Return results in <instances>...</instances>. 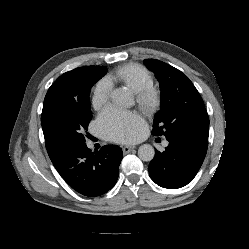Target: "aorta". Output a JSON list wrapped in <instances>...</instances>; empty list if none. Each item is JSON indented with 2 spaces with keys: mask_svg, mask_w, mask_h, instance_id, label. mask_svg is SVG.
Listing matches in <instances>:
<instances>
[{
  "mask_svg": "<svg viewBox=\"0 0 249 249\" xmlns=\"http://www.w3.org/2000/svg\"><path fill=\"white\" fill-rule=\"evenodd\" d=\"M111 97L119 105L129 107L133 104V98L128 89L121 87L113 90ZM155 150L150 144H143L138 149V156L142 161H151L154 158Z\"/></svg>",
  "mask_w": 249,
  "mask_h": 249,
  "instance_id": "aorta-1",
  "label": "aorta"
}]
</instances>
